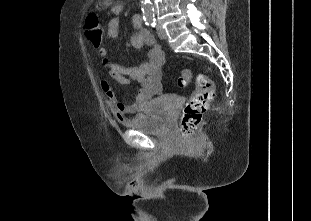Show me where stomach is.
Wrapping results in <instances>:
<instances>
[{
    "instance_id": "obj_1",
    "label": "stomach",
    "mask_w": 311,
    "mask_h": 221,
    "mask_svg": "<svg viewBox=\"0 0 311 221\" xmlns=\"http://www.w3.org/2000/svg\"><path fill=\"white\" fill-rule=\"evenodd\" d=\"M98 6H104L106 4L107 0H97Z\"/></svg>"
}]
</instances>
